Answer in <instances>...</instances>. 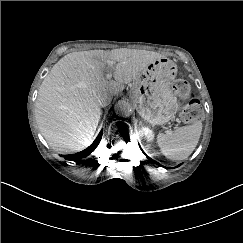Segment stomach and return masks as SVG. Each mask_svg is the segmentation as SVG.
Segmentation results:
<instances>
[{"mask_svg": "<svg viewBox=\"0 0 243 243\" xmlns=\"http://www.w3.org/2000/svg\"><path fill=\"white\" fill-rule=\"evenodd\" d=\"M176 65L161 57L150 63L133 81V102L138 113L151 125L168 123L175 115L177 99L170 83Z\"/></svg>", "mask_w": 243, "mask_h": 243, "instance_id": "obj_1", "label": "stomach"}]
</instances>
